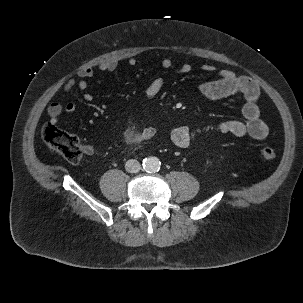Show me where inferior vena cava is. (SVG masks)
I'll use <instances>...</instances> for the list:
<instances>
[{"instance_id": "602c4592", "label": "inferior vena cava", "mask_w": 303, "mask_h": 303, "mask_svg": "<svg viewBox=\"0 0 303 303\" xmlns=\"http://www.w3.org/2000/svg\"><path fill=\"white\" fill-rule=\"evenodd\" d=\"M125 169L129 173H137L141 169V165L137 160L130 159L126 162Z\"/></svg>"}]
</instances>
